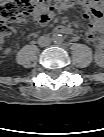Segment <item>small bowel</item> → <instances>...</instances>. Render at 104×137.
Masks as SVG:
<instances>
[{
    "instance_id": "obj_1",
    "label": "small bowel",
    "mask_w": 104,
    "mask_h": 137,
    "mask_svg": "<svg viewBox=\"0 0 104 137\" xmlns=\"http://www.w3.org/2000/svg\"><path fill=\"white\" fill-rule=\"evenodd\" d=\"M81 5L83 8V19L87 22L85 37L89 42L95 45V60L99 65H101L104 61L103 46L99 37V33L103 28L102 13L100 9L94 4L93 0H84ZM48 20L41 21L47 22ZM55 31L60 34H71L72 32L71 29L66 26H58L55 28ZM6 36L7 35H2L1 41H4ZM11 52L12 49L10 47L5 48L4 50L6 55L10 54Z\"/></svg>"
}]
</instances>
